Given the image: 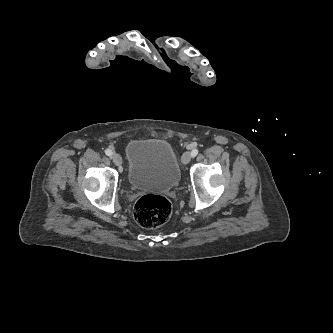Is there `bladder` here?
<instances>
[{
	"label": "bladder",
	"mask_w": 333,
	"mask_h": 333,
	"mask_svg": "<svg viewBox=\"0 0 333 333\" xmlns=\"http://www.w3.org/2000/svg\"><path fill=\"white\" fill-rule=\"evenodd\" d=\"M128 181L142 191L167 192L181 177L175 152L165 140H135L126 148Z\"/></svg>",
	"instance_id": "1"
}]
</instances>
